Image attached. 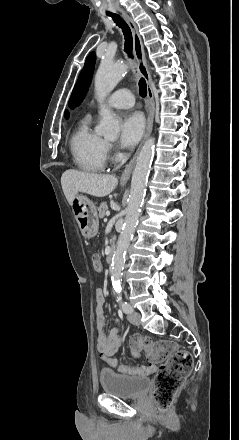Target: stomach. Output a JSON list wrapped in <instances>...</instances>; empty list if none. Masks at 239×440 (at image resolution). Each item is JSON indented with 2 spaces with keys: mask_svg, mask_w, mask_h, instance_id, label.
Listing matches in <instances>:
<instances>
[{
  "mask_svg": "<svg viewBox=\"0 0 239 440\" xmlns=\"http://www.w3.org/2000/svg\"><path fill=\"white\" fill-rule=\"evenodd\" d=\"M72 212L84 238L97 236L99 230L98 214L96 206L87 196H83V194L75 196Z\"/></svg>",
  "mask_w": 239,
  "mask_h": 440,
  "instance_id": "0dacf381",
  "label": "stomach"
}]
</instances>
